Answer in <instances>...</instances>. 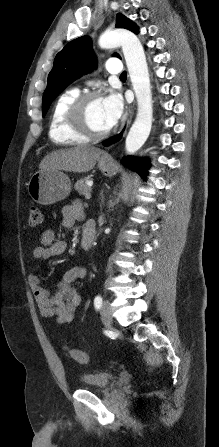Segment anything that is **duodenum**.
Returning <instances> with one entry per match:
<instances>
[{"label": "duodenum", "instance_id": "obj_1", "mask_svg": "<svg viewBox=\"0 0 219 447\" xmlns=\"http://www.w3.org/2000/svg\"><path fill=\"white\" fill-rule=\"evenodd\" d=\"M82 235V247L84 250H88L91 247L95 237V223L93 221L87 220L85 222Z\"/></svg>", "mask_w": 219, "mask_h": 447}]
</instances>
